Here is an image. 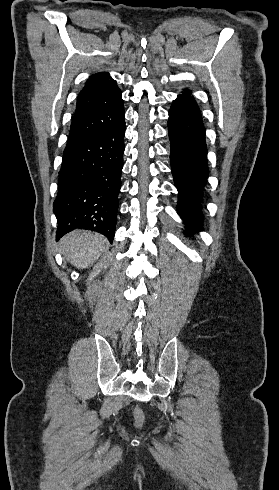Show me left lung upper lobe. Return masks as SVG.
I'll use <instances>...</instances> for the list:
<instances>
[{"label": "left lung upper lobe", "instance_id": "1", "mask_svg": "<svg viewBox=\"0 0 279 490\" xmlns=\"http://www.w3.org/2000/svg\"><path fill=\"white\" fill-rule=\"evenodd\" d=\"M179 97L186 99V100H189L191 102H195L193 97L190 96V91H188V90L185 91L184 95H180Z\"/></svg>", "mask_w": 279, "mask_h": 490}]
</instances>
